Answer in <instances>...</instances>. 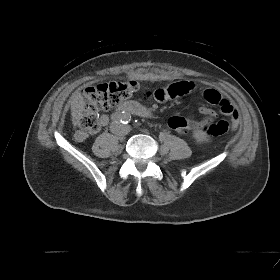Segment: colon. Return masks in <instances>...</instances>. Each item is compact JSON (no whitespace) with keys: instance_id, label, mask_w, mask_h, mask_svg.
<instances>
[{"instance_id":"obj_1","label":"colon","mask_w":280,"mask_h":280,"mask_svg":"<svg viewBox=\"0 0 280 280\" xmlns=\"http://www.w3.org/2000/svg\"><path fill=\"white\" fill-rule=\"evenodd\" d=\"M139 88V83L135 81H111L87 87L84 90L85 112L79 123L81 128L90 132L97 131L101 126L99 112L113 108ZM230 126V122L221 120L208 125L206 131L211 136H220L225 134Z\"/></svg>"}]
</instances>
